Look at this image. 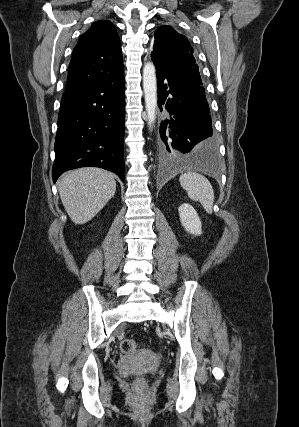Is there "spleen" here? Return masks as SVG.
Wrapping results in <instances>:
<instances>
[{"instance_id": "1", "label": "spleen", "mask_w": 299, "mask_h": 427, "mask_svg": "<svg viewBox=\"0 0 299 427\" xmlns=\"http://www.w3.org/2000/svg\"><path fill=\"white\" fill-rule=\"evenodd\" d=\"M179 181L188 196L201 203L207 213L211 214L214 203V190L207 178L196 172L181 174Z\"/></svg>"}]
</instances>
